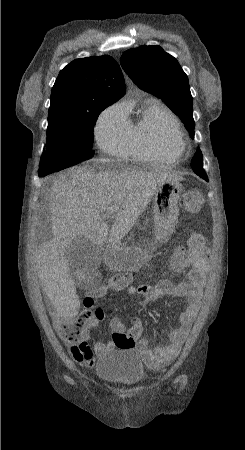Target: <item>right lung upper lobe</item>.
Returning a JSON list of instances; mask_svg holds the SVG:
<instances>
[{
  "label": "right lung upper lobe",
  "instance_id": "right-lung-upper-lobe-1",
  "mask_svg": "<svg viewBox=\"0 0 245 450\" xmlns=\"http://www.w3.org/2000/svg\"><path fill=\"white\" fill-rule=\"evenodd\" d=\"M122 71L109 55L76 59L60 71L51 92L49 114L89 111L125 94Z\"/></svg>",
  "mask_w": 245,
  "mask_h": 450
}]
</instances>
